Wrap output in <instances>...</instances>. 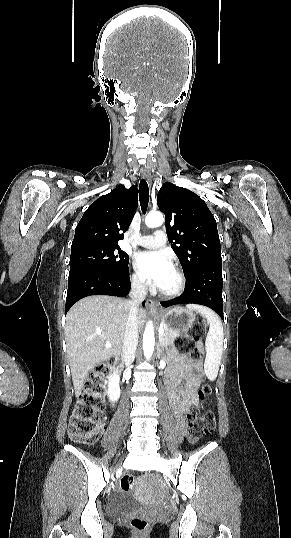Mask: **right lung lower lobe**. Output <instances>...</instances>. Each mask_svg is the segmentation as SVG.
Here are the masks:
<instances>
[{
	"mask_svg": "<svg viewBox=\"0 0 291 538\" xmlns=\"http://www.w3.org/2000/svg\"><path fill=\"white\" fill-rule=\"evenodd\" d=\"M130 287L128 268L115 272L103 269H81L71 272L68 278L66 313L83 297L90 295L125 297Z\"/></svg>",
	"mask_w": 291,
	"mask_h": 538,
	"instance_id": "obj_1",
	"label": "right lung lower lobe"
}]
</instances>
